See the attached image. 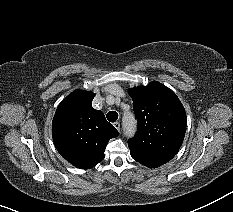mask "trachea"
Returning a JSON list of instances; mask_svg holds the SVG:
<instances>
[{
  "label": "trachea",
  "instance_id": "trachea-1",
  "mask_svg": "<svg viewBox=\"0 0 233 212\" xmlns=\"http://www.w3.org/2000/svg\"><path fill=\"white\" fill-rule=\"evenodd\" d=\"M107 119L110 122H115L118 119V113L116 111H110L107 113Z\"/></svg>",
  "mask_w": 233,
  "mask_h": 212
}]
</instances>
